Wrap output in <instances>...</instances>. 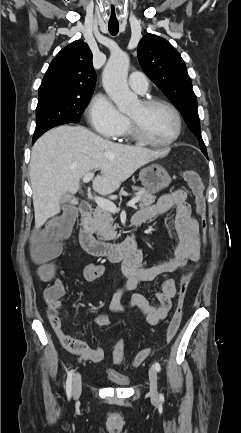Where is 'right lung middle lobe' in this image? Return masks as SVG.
<instances>
[{
  "instance_id": "right-lung-middle-lobe-1",
  "label": "right lung middle lobe",
  "mask_w": 241,
  "mask_h": 433,
  "mask_svg": "<svg viewBox=\"0 0 241 433\" xmlns=\"http://www.w3.org/2000/svg\"><path fill=\"white\" fill-rule=\"evenodd\" d=\"M90 99L91 96L47 97L38 100L33 140L58 125L77 123Z\"/></svg>"
}]
</instances>
